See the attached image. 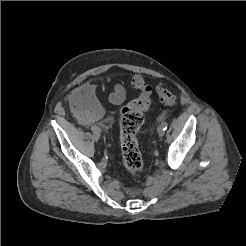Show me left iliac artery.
Returning a JSON list of instances; mask_svg holds the SVG:
<instances>
[{
  "mask_svg": "<svg viewBox=\"0 0 246 246\" xmlns=\"http://www.w3.org/2000/svg\"><path fill=\"white\" fill-rule=\"evenodd\" d=\"M161 126H162L163 130H166L167 127H168V124H167L166 122H163V123L161 124Z\"/></svg>",
  "mask_w": 246,
  "mask_h": 246,
  "instance_id": "44dca946",
  "label": "left iliac artery"
}]
</instances>
